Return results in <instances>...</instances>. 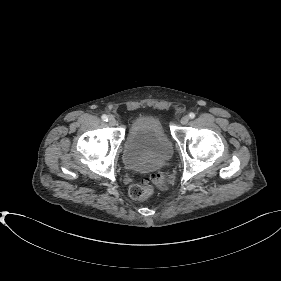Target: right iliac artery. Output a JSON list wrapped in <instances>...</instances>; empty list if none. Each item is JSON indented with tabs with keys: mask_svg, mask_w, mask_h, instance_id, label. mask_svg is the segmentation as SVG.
Here are the masks:
<instances>
[{
	"mask_svg": "<svg viewBox=\"0 0 281 281\" xmlns=\"http://www.w3.org/2000/svg\"><path fill=\"white\" fill-rule=\"evenodd\" d=\"M101 118H102V120H103V121H106V122L108 121V116H107V115H105V114H104V115H102V117H101Z\"/></svg>",
	"mask_w": 281,
	"mask_h": 281,
	"instance_id": "right-iliac-artery-1",
	"label": "right iliac artery"
}]
</instances>
